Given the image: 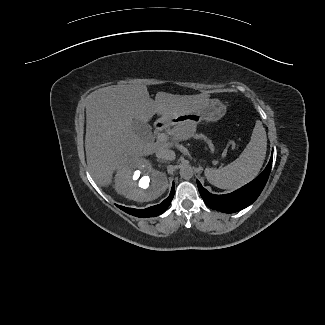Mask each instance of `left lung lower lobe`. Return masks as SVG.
Listing matches in <instances>:
<instances>
[{"label":"left lung lower lobe","mask_w":325,"mask_h":325,"mask_svg":"<svg viewBox=\"0 0 325 325\" xmlns=\"http://www.w3.org/2000/svg\"><path fill=\"white\" fill-rule=\"evenodd\" d=\"M272 160L273 153L268 165L257 178L229 194H211L204 187H202L201 183L197 180L198 189L203 201L211 209H215L223 213H234L248 207L262 192L270 174Z\"/></svg>","instance_id":"1"}]
</instances>
